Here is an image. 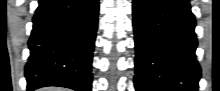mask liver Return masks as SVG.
Instances as JSON below:
<instances>
[{"label": "liver", "instance_id": "6515ba94", "mask_svg": "<svg viewBox=\"0 0 220 91\" xmlns=\"http://www.w3.org/2000/svg\"><path fill=\"white\" fill-rule=\"evenodd\" d=\"M40 91H61V90H57L56 88H44Z\"/></svg>", "mask_w": 220, "mask_h": 91}]
</instances>
